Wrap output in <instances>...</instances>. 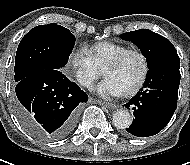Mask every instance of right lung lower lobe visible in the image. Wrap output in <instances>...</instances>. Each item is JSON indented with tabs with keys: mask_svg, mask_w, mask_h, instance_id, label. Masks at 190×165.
<instances>
[{
	"mask_svg": "<svg viewBox=\"0 0 190 165\" xmlns=\"http://www.w3.org/2000/svg\"><path fill=\"white\" fill-rule=\"evenodd\" d=\"M15 112L36 138L58 140L70 135L77 123L79 104L87 94L58 69H44L17 82Z\"/></svg>",
	"mask_w": 190,
	"mask_h": 165,
	"instance_id": "1",
	"label": "right lung lower lobe"
}]
</instances>
